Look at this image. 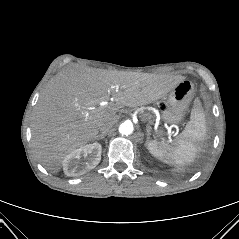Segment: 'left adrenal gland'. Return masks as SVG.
I'll return each mask as SVG.
<instances>
[{"label":"left adrenal gland","instance_id":"left-adrenal-gland-1","mask_svg":"<svg viewBox=\"0 0 239 239\" xmlns=\"http://www.w3.org/2000/svg\"><path fill=\"white\" fill-rule=\"evenodd\" d=\"M151 135V127L149 125L146 126V136H147V141L149 140ZM146 145V144H145Z\"/></svg>","mask_w":239,"mask_h":239}]
</instances>
